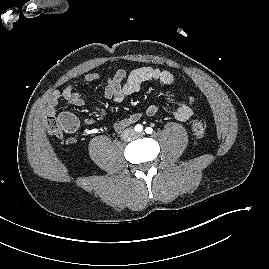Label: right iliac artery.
Here are the masks:
<instances>
[{
  "mask_svg": "<svg viewBox=\"0 0 269 269\" xmlns=\"http://www.w3.org/2000/svg\"><path fill=\"white\" fill-rule=\"evenodd\" d=\"M142 130H143V126H142V125L137 124V125L135 126V131H137V132H141Z\"/></svg>",
  "mask_w": 269,
  "mask_h": 269,
  "instance_id": "right-iliac-artery-1",
  "label": "right iliac artery"
}]
</instances>
